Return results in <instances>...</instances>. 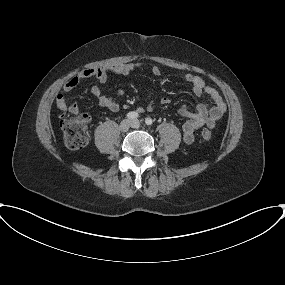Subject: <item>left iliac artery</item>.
I'll return each mask as SVG.
<instances>
[{
	"label": "left iliac artery",
	"mask_w": 285,
	"mask_h": 285,
	"mask_svg": "<svg viewBox=\"0 0 285 285\" xmlns=\"http://www.w3.org/2000/svg\"><path fill=\"white\" fill-rule=\"evenodd\" d=\"M145 123H146L147 125H151V124L153 123V121H152L151 118H146V119H145Z\"/></svg>",
	"instance_id": "obj_1"
}]
</instances>
